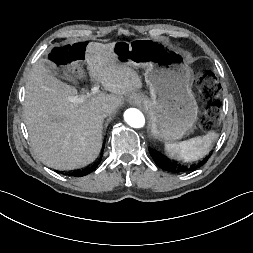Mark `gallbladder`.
<instances>
[{
    "label": "gallbladder",
    "mask_w": 253,
    "mask_h": 253,
    "mask_svg": "<svg viewBox=\"0 0 253 253\" xmlns=\"http://www.w3.org/2000/svg\"><path fill=\"white\" fill-rule=\"evenodd\" d=\"M43 67L45 68V70L51 74V75H58V72L56 70V68L54 67V65L49 62L48 60H43Z\"/></svg>",
    "instance_id": "gallbladder-1"
}]
</instances>
